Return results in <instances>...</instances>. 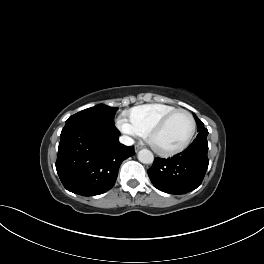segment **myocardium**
<instances>
[{"label": "myocardium", "instance_id": "1", "mask_svg": "<svg viewBox=\"0 0 264 264\" xmlns=\"http://www.w3.org/2000/svg\"><path fill=\"white\" fill-rule=\"evenodd\" d=\"M178 114H185L189 117V119L191 120V132L188 136V138L186 139V141L184 143H182L181 145L174 147V148H170V149H161L158 148L153 141L154 136L159 133L166 125L167 123L176 115ZM196 130H197V124H196V120L193 116L192 113H190L187 110L184 109H175L172 112H170L169 114H167L166 116H164L159 122H157L148 132L147 134V140L148 143L150 144V146L152 147V149L158 153L159 155L162 156H171V155H175L178 154L182 151H184L186 148L189 147V145L192 143L195 134H196Z\"/></svg>", "mask_w": 264, "mask_h": 264}]
</instances>
